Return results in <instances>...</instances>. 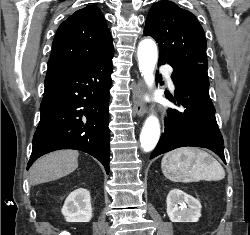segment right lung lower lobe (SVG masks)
<instances>
[{"mask_svg": "<svg viewBox=\"0 0 250 235\" xmlns=\"http://www.w3.org/2000/svg\"><path fill=\"white\" fill-rule=\"evenodd\" d=\"M113 54L111 50L79 69L46 75L41 118L27 169L46 153L75 149L97 158L109 173Z\"/></svg>", "mask_w": 250, "mask_h": 235, "instance_id": "1", "label": "right lung lower lobe"}]
</instances>
